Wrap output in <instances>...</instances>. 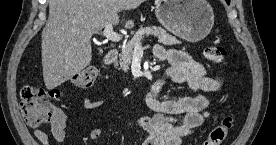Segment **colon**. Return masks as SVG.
I'll list each match as a JSON object with an SVG mask.
<instances>
[{"instance_id":"obj_1","label":"colon","mask_w":276,"mask_h":145,"mask_svg":"<svg viewBox=\"0 0 276 145\" xmlns=\"http://www.w3.org/2000/svg\"><path fill=\"white\" fill-rule=\"evenodd\" d=\"M205 58L212 64H220L225 57V49L220 45L208 46L204 50ZM98 77L96 67L88 66L71 78L73 86L79 89L91 87ZM60 93L56 89L27 85L20 92V108L25 122L32 127H40L50 122L55 114L53 102ZM234 124V117L226 115L212 128L203 145H221Z\"/></svg>"}]
</instances>
